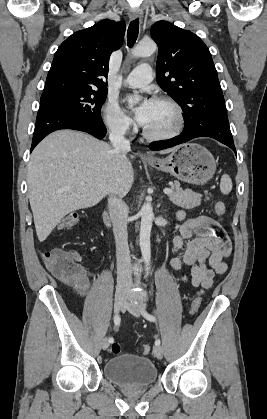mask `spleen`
<instances>
[{
  "label": "spleen",
  "instance_id": "obj_1",
  "mask_svg": "<svg viewBox=\"0 0 267 419\" xmlns=\"http://www.w3.org/2000/svg\"><path fill=\"white\" fill-rule=\"evenodd\" d=\"M220 190L225 195L229 194L232 190V181H231V178L227 174H224L221 177Z\"/></svg>",
  "mask_w": 267,
  "mask_h": 419
}]
</instances>
